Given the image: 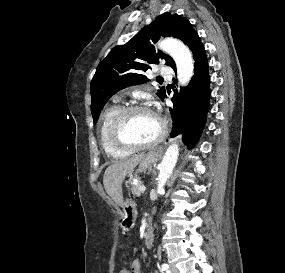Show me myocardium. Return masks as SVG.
Instances as JSON below:
<instances>
[{"label":"myocardium","mask_w":285,"mask_h":273,"mask_svg":"<svg viewBox=\"0 0 285 273\" xmlns=\"http://www.w3.org/2000/svg\"><path fill=\"white\" fill-rule=\"evenodd\" d=\"M139 111H147L152 113L160 124V132L158 136L150 142L134 144L123 138L122 130L128 116ZM167 131V123L159 114L145 106L134 104L121 108V110L115 116L110 127V139L113 145H115L117 148L123 151L132 152L147 149L159 144L166 137Z\"/></svg>","instance_id":"obj_1"}]
</instances>
